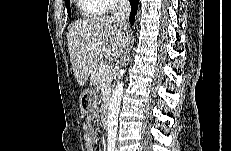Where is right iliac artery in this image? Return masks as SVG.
Instances as JSON below:
<instances>
[{
  "label": "right iliac artery",
  "mask_w": 231,
  "mask_h": 151,
  "mask_svg": "<svg viewBox=\"0 0 231 151\" xmlns=\"http://www.w3.org/2000/svg\"><path fill=\"white\" fill-rule=\"evenodd\" d=\"M114 149H115V146H114V145L108 147V151H114Z\"/></svg>",
  "instance_id": "obj_1"
}]
</instances>
